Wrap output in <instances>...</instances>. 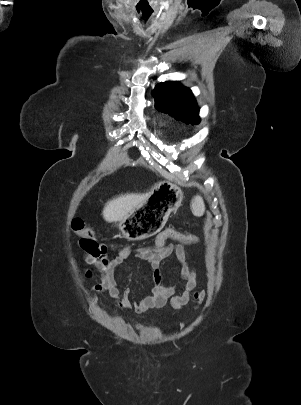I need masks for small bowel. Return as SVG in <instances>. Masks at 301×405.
<instances>
[{
    "mask_svg": "<svg viewBox=\"0 0 301 405\" xmlns=\"http://www.w3.org/2000/svg\"><path fill=\"white\" fill-rule=\"evenodd\" d=\"M168 240L172 237L166 235L163 231L156 237L155 247L153 249H137L135 250V257L147 262L152 270V281L150 293L138 299L135 302V309L138 313H144L151 309L162 307L167 301L176 310H182L183 307L194 299L196 307H198L204 300V291L196 290L195 273L191 267L185 247L176 243L167 244ZM82 248L85 260L97 267L101 273V281L92 288L93 293L102 294L108 293L111 297L116 299V306L125 308L130 303V291L125 290L121 293L120 287L114 276V268L122 264L134 252L131 248H123L115 257L106 258L104 254L94 256L88 251L79 241ZM174 254L176 256L179 267V281L165 285L162 282V273L160 265L163 260ZM89 276L90 273H87ZM180 283H185V290L182 294H177Z\"/></svg>",
    "mask_w": 301,
    "mask_h": 405,
    "instance_id": "obj_1",
    "label": "small bowel"
}]
</instances>
